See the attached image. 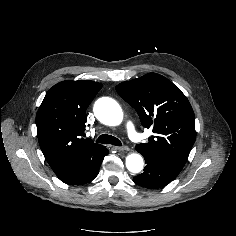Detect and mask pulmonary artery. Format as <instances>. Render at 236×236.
Returning <instances> with one entry per match:
<instances>
[{
    "instance_id": "pulmonary-artery-1",
    "label": "pulmonary artery",
    "mask_w": 236,
    "mask_h": 236,
    "mask_svg": "<svg viewBox=\"0 0 236 236\" xmlns=\"http://www.w3.org/2000/svg\"><path fill=\"white\" fill-rule=\"evenodd\" d=\"M126 128H127V133H128L129 138L134 142H138L140 140V136L136 132L134 125L130 121L127 122Z\"/></svg>"
}]
</instances>
